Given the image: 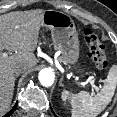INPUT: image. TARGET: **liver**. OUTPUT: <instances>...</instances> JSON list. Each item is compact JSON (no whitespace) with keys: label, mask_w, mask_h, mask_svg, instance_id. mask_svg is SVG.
I'll return each instance as SVG.
<instances>
[{"label":"liver","mask_w":117,"mask_h":117,"mask_svg":"<svg viewBox=\"0 0 117 117\" xmlns=\"http://www.w3.org/2000/svg\"><path fill=\"white\" fill-rule=\"evenodd\" d=\"M44 10L12 12L0 16V116L11 104L18 67L37 64L33 53L39 43ZM4 47L15 54L3 57Z\"/></svg>","instance_id":"liver-1"}]
</instances>
